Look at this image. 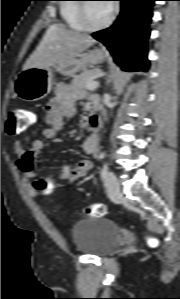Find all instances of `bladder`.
<instances>
[{"instance_id": "1", "label": "bladder", "mask_w": 180, "mask_h": 299, "mask_svg": "<svg viewBox=\"0 0 180 299\" xmlns=\"http://www.w3.org/2000/svg\"><path fill=\"white\" fill-rule=\"evenodd\" d=\"M70 236L79 252L92 256L110 254L121 241L117 225L104 217L78 220L72 226Z\"/></svg>"}]
</instances>
